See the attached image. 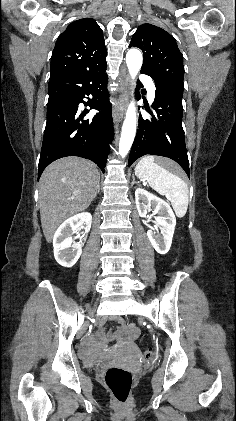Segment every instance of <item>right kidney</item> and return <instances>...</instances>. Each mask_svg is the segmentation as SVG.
I'll use <instances>...</instances> for the list:
<instances>
[{
	"instance_id": "right-kidney-1",
	"label": "right kidney",
	"mask_w": 236,
	"mask_h": 421,
	"mask_svg": "<svg viewBox=\"0 0 236 421\" xmlns=\"http://www.w3.org/2000/svg\"><path fill=\"white\" fill-rule=\"evenodd\" d=\"M92 217L90 213H79L64 221L58 227L54 239V257L62 267H73L82 255V237H79L80 243H75L71 237V233L84 229L85 233H89L91 229Z\"/></svg>"
}]
</instances>
